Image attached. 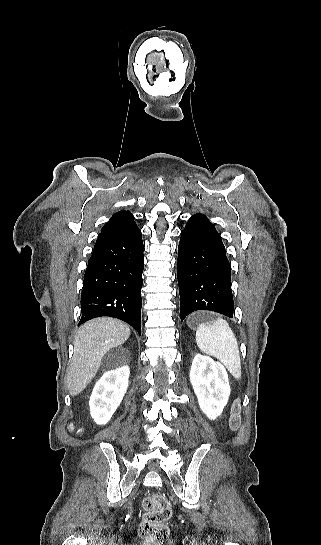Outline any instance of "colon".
Listing matches in <instances>:
<instances>
[{
  "mask_svg": "<svg viewBox=\"0 0 321 545\" xmlns=\"http://www.w3.org/2000/svg\"><path fill=\"white\" fill-rule=\"evenodd\" d=\"M241 403L235 402L232 407L231 425L237 429L240 422ZM75 433L80 432V428L71 427ZM144 514L140 524V535L145 539L148 545H167L169 530L166 521L171 517L172 509L168 500L160 494L148 496L144 502Z\"/></svg>",
  "mask_w": 321,
  "mask_h": 545,
  "instance_id": "1",
  "label": "colon"
}]
</instances>
